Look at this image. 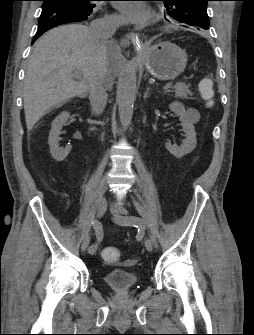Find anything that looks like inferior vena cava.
I'll return each instance as SVG.
<instances>
[{
  "mask_svg": "<svg viewBox=\"0 0 254 335\" xmlns=\"http://www.w3.org/2000/svg\"><path fill=\"white\" fill-rule=\"evenodd\" d=\"M122 23L123 20L117 16H105L93 20L89 27L92 40L98 44L106 42L112 38ZM106 89V72L104 69H99L89 80V100L92 111L97 115L101 114L106 106Z\"/></svg>",
  "mask_w": 254,
  "mask_h": 335,
  "instance_id": "inferior-vena-cava-1",
  "label": "inferior vena cava"
}]
</instances>
